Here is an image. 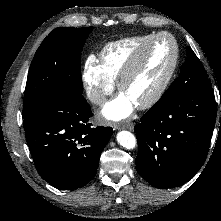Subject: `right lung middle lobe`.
Segmentation results:
<instances>
[{
	"instance_id": "obj_1",
	"label": "right lung middle lobe",
	"mask_w": 221,
	"mask_h": 221,
	"mask_svg": "<svg viewBox=\"0 0 221 221\" xmlns=\"http://www.w3.org/2000/svg\"><path fill=\"white\" fill-rule=\"evenodd\" d=\"M93 27L56 28L42 42L30 66L24 94L23 115L45 100L63 93L82 94L80 59Z\"/></svg>"
}]
</instances>
